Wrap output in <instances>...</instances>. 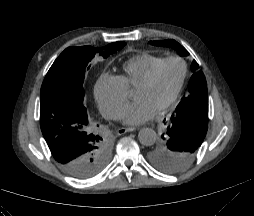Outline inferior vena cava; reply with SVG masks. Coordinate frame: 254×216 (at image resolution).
I'll return each instance as SVG.
<instances>
[{
  "label": "inferior vena cava",
  "mask_w": 254,
  "mask_h": 216,
  "mask_svg": "<svg viewBox=\"0 0 254 216\" xmlns=\"http://www.w3.org/2000/svg\"><path fill=\"white\" fill-rule=\"evenodd\" d=\"M100 113L102 117L105 119H114V120L117 119V114L112 110L101 109Z\"/></svg>",
  "instance_id": "obj_1"
}]
</instances>
